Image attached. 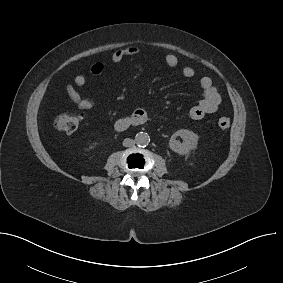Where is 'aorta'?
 <instances>
[{
  "label": "aorta",
  "mask_w": 283,
  "mask_h": 283,
  "mask_svg": "<svg viewBox=\"0 0 283 283\" xmlns=\"http://www.w3.org/2000/svg\"><path fill=\"white\" fill-rule=\"evenodd\" d=\"M150 142V137L147 133L139 132L135 136V143L138 146L144 147L147 146Z\"/></svg>",
  "instance_id": "obj_1"
}]
</instances>
